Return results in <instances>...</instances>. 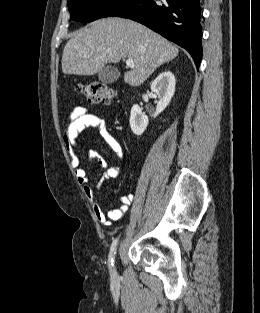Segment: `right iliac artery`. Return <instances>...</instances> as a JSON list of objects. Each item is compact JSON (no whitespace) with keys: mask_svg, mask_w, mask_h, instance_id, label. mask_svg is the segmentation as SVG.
I'll list each match as a JSON object with an SVG mask.
<instances>
[{"mask_svg":"<svg viewBox=\"0 0 260 313\" xmlns=\"http://www.w3.org/2000/svg\"><path fill=\"white\" fill-rule=\"evenodd\" d=\"M117 243H118V239L116 238V239L113 240V242L111 244V247H110L109 259H108V266H109L110 270L113 267V261H114L113 257H114V254H115Z\"/></svg>","mask_w":260,"mask_h":313,"instance_id":"82829eb1","label":"right iliac artery"}]
</instances>
